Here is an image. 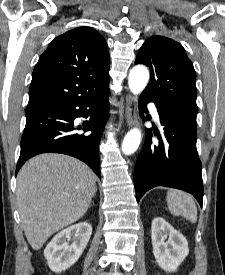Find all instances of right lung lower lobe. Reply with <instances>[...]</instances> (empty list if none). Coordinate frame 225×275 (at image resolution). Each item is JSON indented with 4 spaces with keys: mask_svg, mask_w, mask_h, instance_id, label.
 I'll return each mask as SVG.
<instances>
[{
    "mask_svg": "<svg viewBox=\"0 0 225 275\" xmlns=\"http://www.w3.org/2000/svg\"><path fill=\"white\" fill-rule=\"evenodd\" d=\"M109 87L96 95L62 101L26 111V126L16 173L31 157L41 153H63L85 162L100 177L99 142L108 119ZM76 117L89 118L82 126ZM83 129L92 133H78Z\"/></svg>",
    "mask_w": 225,
    "mask_h": 275,
    "instance_id": "98d812e1",
    "label": "right lung lower lobe"
}]
</instances>
